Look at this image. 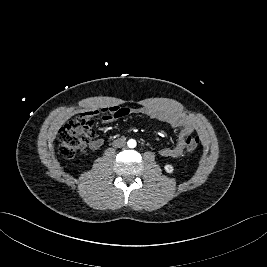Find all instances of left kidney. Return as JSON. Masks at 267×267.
Listing matches in <instances>:
<instances>
[{
  "instance_id": "obj_1",
  "label": "left kidney",
  "mask_w": 267,
  "mask_h": 267,
  "mask_svg": "<svg viewBox=\"0 0 267 267\" xmlns=\"http://www.w3.org/2000/svg\"><path fill=\"white\" fill-rule=\"evenodd\" d=\"M164 169H165V171H166L167 173H170V174H172L173 171H174V168H173V166H172L171 164H166V165L164 166Z\"/></svg>"
}]
</instances>
